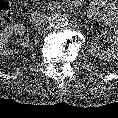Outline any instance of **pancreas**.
Masks as SVG:
<instances>
[{
    "label": "pancreas",
    "mask_w": 118,
    "mask_h": 118,
    "mask_svg": "<svg viewBox=\"0 0 118 118\" xmlns=\"http://www.w3.org/2000/svg\"><path fill=\"white\" fill-rule=\"evenodd\" d=\"M67 2H69L70 0H66ZM49 8L53 9L54 7L53 6H49Z\"/></svg>",
    "instance_id": "pancreas-1"
}]
</instances>
